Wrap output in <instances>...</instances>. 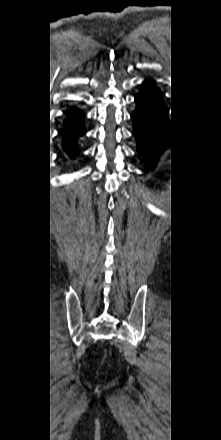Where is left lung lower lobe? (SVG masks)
I'll return each mask as SVG.
<instances>
[{
  "label": "left lung lower lobe",
  "instance_id": "left-lung-lower-lobe-1",
  "mask_svg": "<svg viewBox=\"0 0 221 440\" xmlns=\"http://www.w3.org/2000/svg\"><path fill=\"white\" fill-rule=\"evenodd\" d=\"M137 107L132 113L133 134L137 151L145 158L146 167L152 169L158 157L170 145V121L161 91L152 81L146 80L135 97Z\"/></svg>",
  "mask_w": 221,
  "mask_h": 440
}]
</instances>
